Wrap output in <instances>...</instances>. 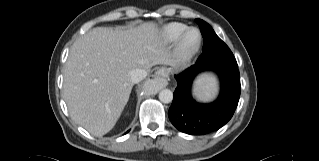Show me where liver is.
<instances>
[{"label": "liver", "mask_w": 319, "mask_h": 161, "mask_svg": "<svg viewBox=\"0 0 319 161\" xmlns=\"http://www.w3.org/2000/svg\"><path fill=\"white\" fill-rule=\"evenodd\" d=\"M167 63L166 44L153 22L90 30L74 42L65 64L63 95L71 118L91 134L105 135L129 100V72Z\"/></svg>", "instance_id": "liver-1"}]
</instances>
